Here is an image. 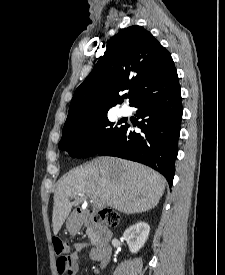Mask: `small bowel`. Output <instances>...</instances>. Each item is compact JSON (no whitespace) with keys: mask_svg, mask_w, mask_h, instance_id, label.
Listing matches in <instances>:
<instances>
[{"mask_svg":"<svg viewBox=\"0 0 225 275\" xmlns=\"http://www.w3.org/2000/svg\"><path fill=\"white\" fill-rule=\"evenodd\" d=\"M87 246L84 242H78L74 245L73 252L69 255L68 260L71 268V275H75L79 272L81 266L80 252Z\"/></svg>","mask_w":225,"mask_h":275,"instance_id":"1","label":"small bowel"}]
</instances>
